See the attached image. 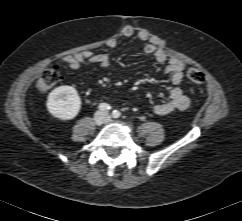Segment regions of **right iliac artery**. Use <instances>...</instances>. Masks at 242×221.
I'll return each mask as SVG.
<instances>
[{"label":"right iliac artery","instance_id":"right-iliac-artery-1","mask_svg":"<svg viewBox=\"0 0 242 221\" xmlns=\"http://www.w3.org/2000/svg\"><path fill=\"white\" fill-rule=\"evenodd\" d=\"M99 109L102 110V111H108L111 109V106L107 103H101L99 105Z\"/></svg>","mask_w":242,"mask_h":221}]
</instances>
